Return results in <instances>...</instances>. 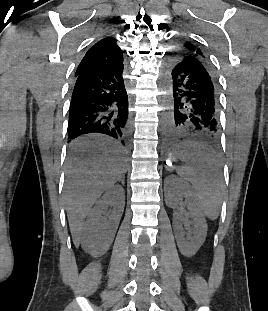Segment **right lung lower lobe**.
I'll return each instance as SVG.
<instances>
[{
  "mask_svg": "<svg viewBox=\"0 0 268 311\" xmlns=\"http://www.w3.org/2000/svg\"><path fill=\"white\" fill-rule=\"evenodd\" d=\"M124 65L75 75L69 108L68 138L101 133L128 144L130 114Z\"/></svg>",
  "mask_w": 268,
  "mask_h": 311,
  "instance_id": "right-lung-lower-lobe-1",
  "label": "right lung lower lobe"
}]
</instances>
